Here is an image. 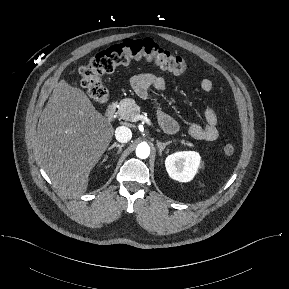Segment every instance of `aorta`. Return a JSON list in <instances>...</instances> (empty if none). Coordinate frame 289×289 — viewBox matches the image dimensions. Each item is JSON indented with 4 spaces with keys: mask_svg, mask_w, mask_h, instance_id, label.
Segmentation results:
<instances>
[{
    "mask_svg": "<svg viewBox=\"0 0 289 289\" xmlns=\"http://www.w3.org/2000/svg\"><path fill=\"white\" fill-rule=\"evenodd\" d=\"M136 155L140 159H146L150 155V147L146 143H140L136 148Z\"/></svg>",
    "mask_w": 289,
    "mask_h": 289,
    "instance_id": "1",
    "label": "aorta"
}]
</instances>
